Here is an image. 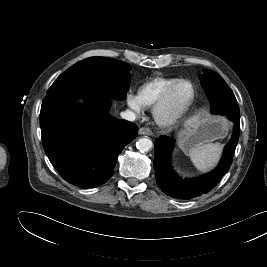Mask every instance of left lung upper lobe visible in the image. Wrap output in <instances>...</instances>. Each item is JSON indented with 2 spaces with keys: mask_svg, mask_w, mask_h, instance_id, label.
Here are the masks:
<instances>
[{
  "mask_svg": "<svg viewBox=\"0 0 267 267\" xmlns=\"http://www.w3.org/2000/svg\"><path fill=\"white\" fill-rule=\"evenodd\" d=\"M202 86L211 103V112L216 113L218 109H227L237 100L220 75L212 70H205L200 76Z\"/></svg>",
  "mask_w": 267,
  "mask_h": 267,
  "instance_id": "obj_1",
  "label": "left lung upper lobe"
}]
</instances>
